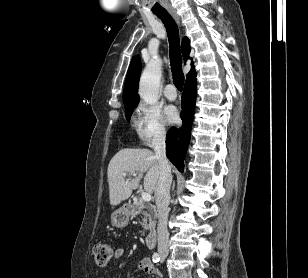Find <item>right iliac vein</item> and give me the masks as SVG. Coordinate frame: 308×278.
Wrapping results in <instances>:
<instances>
[{
	"label": "right iliac vein",
	"instance_id": "right-iliac-vein-1",
	"mask_svg": "<svg viewBox=\"0 0 308 278\" xmlns=\"http://www.w3.org/2000/svg\"><path fill=\"white\" fill-rule=\"evenodd\" d=\"M160 256H161L162 258H166V257H167V252L161 251V252H160Z\"/></svg>",
	"mask_w": 308,
	"mask_h": 278
}]
</instances>
